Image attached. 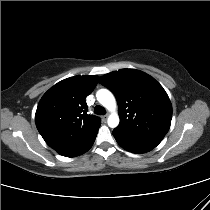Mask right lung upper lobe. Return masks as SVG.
Masks as SVG:
<instances>
[{"label": "right lung upper lobe", "instance_id": "obj_1", "mask_svg": "<svg viewBox=\"0 0 210 210\" xmlns=\"http://www.w3.org/2000/svg\"><path fill=\"white\" fill-rule=\"evenodd\" d=\"M98 76H74L51 87L41 98L35 122L45 142L59 154L75 157L96 138L101 120L87 114L85 98Z\"/></svg>", "mask_w": 210, "mask_h": 210}]
</instances>
